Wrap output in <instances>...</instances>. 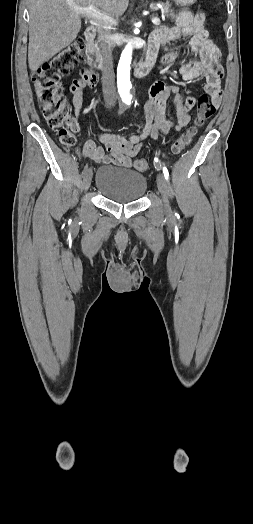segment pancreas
Segmentation results:
<instances>
[{
	"mask_svg": "<svg viewBox=\"0 0 253 524\" xmlns=\"http://www.w3.org/2000/svg\"><path fill=\"white\" fill-rule=\"evenodd\" d=\"M158 5L161 6V8L163 9V14L167 17H172L174 18L175 17V14L173 12V10L171 9V4L169 3H152L150 5V9H153V10H156L158 9Z\"/></svg>",
	"mask_w": 253,
	"mask_h": 524,
	"instance_id": "pancreas-1",
	"label": "pancreas"
}]
</instances>
